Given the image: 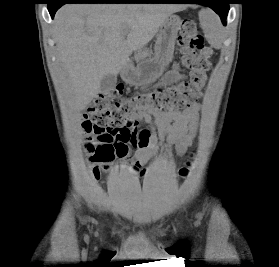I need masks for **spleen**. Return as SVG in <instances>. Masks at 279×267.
<instances>
[{
	"mask_svg": "<svg viewBox=\"0 0 279 267\" xmlns=\"http://www.w3.org/2000/svg\"><path fill=\"white\" fill-rule=\"evenodd\" d=\"M200 21L209 43L214 47H220L222 43V32L218 17L211 10L206 9L201 11Z\"/></svg>",
	"mask_w": 279,
	"mask_h": 267,
	"instance_id": "spleen-1",
	"label": "spleen"
}]
</instances>
